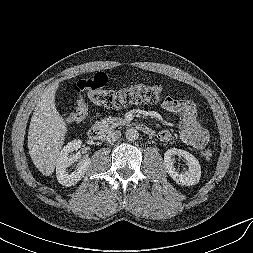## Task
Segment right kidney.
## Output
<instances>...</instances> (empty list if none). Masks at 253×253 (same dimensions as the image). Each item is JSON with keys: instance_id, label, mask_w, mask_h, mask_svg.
Wrapping results in <instances>:
<instances>
[{"instance_id": "ca27d5eb", "label": "right kidney", "mask_w": 253, "mask_h": 253, "mask_svg": "<svg viewBox=\"0 0 253 253\" xmlns=\"http://www.w3.org/2000/svg\"><path fill=\"white\" fill-rule=\"evenodd\" d=\"M81 145V140H73L64 146L59 154L56 162V177L63 186L70 187L77 184L91 164L90 158H83L79 161L77 169L72 173H68L67 168L80 158L78 154L72 155L71 153L78 150Z\"/></svg>"}]
</instances>
